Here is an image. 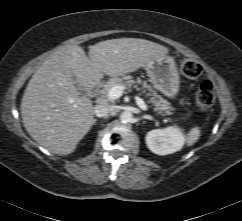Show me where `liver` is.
<instances>
[{"label": "liver", "mask_w": 242, "mask_h": 221, "mask_svg": "<svg viewBox=\"0 0 242 221\" xmlns=\"http://www.w3.org/2000/svg\"><path fill=\"white\" fill-rule=\"evenodd\" d=\"M169 50L138 38H118L89 46L88 56L79 45L62 46L37 69L21 102L22 122L28 134L48 151L65 156L94 124L92 101L85 90L103 76L118 77L146 67Z\"/></svg>", "instance_id": "obj_1"}]
</instances>
